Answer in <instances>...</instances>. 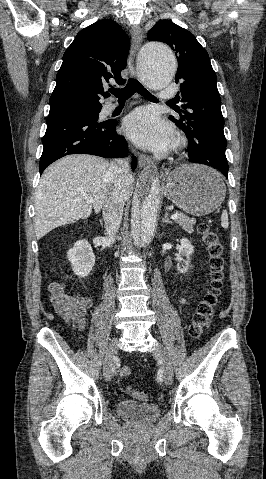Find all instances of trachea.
Masks as SVG:
<instances>
[{"instance_id":"3493384b","label":"trachea","mask_w":266,"mask_h":479,"mask_svg":"<svg viewBox=\"0 0 266 479\" xmlns=\"http://www.w3.org/2000/svg\"><path fill=\"white\" fill-rule=\"evenodd\" d=\"M109 91L111 94L116 96L118 100H126L137 92L149 100L158 101L157 98L154 97L147 89H145L143 85L135 78H129V83L124 88H111ZM168 103H173V101H169Z\"/></svg>"}]
</instances>
